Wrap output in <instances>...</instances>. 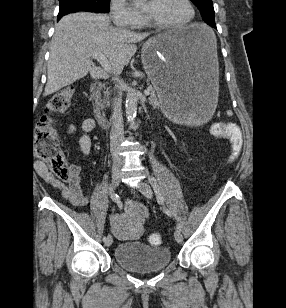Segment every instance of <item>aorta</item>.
I'll list each match as a JSON object with an SVG mask.
<instances>
[{
    "mask_svg": "<svg viewBox=\"0 0 286 308\" xmlns=\"http://www.w3.org/2000/svg\"><path fill=\"white\" fill-rule=\"evenodd\" d=\"M137 101L138 97L135 89H129L126 96V118L127 122L131 123L134 121L137 113Z\"/></svg>",
    "mask_w": 286,
    "mask_h": 308,
    "instance_id": "762f6f07",
    "label": "aorta"
}]
</instances>
